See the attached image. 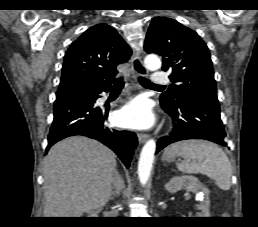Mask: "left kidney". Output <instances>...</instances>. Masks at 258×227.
I'll return each mask as SVG.
<instances>
[{
    "label": "left kidney",
    "mask_w": 258,
    "mask_h": 227,
    "mask_svg": "<svg viewBox=\"0 0 258 227\" xmlns=\"http://www.w3.org/2000/svg\"><path fill=\"white\" fill-rule=\"evenodd\" d=\"M165 188L170 193H175L181 189L196 193L197 198L201 201L197 205L200 212L197 213L196 217H209V190L201 184L198 178L189 175L174 176L165 184Z\"/></svg>",
    "instance_id": "5707ae66"
}]
</instances>
